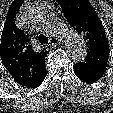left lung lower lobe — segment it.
<instances>
[{
	"instance_id": "obj_1",
	"label": "left lung lower lobe",
	"mask_w": 113,
	"mask_h": 113,
	"mask_svg": "<svg viewBox=\"0 0 113 113\" xmlns=\"http://www.w3.org/2000/svg\"><path fill=\"white\" fill-rule=\"evenodd\" d=\"M74 72L79 79L88 83H94L103 76L105 68L85 62H79L74 64Z\"/></svg>"
}]
</instances>
